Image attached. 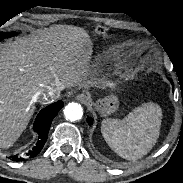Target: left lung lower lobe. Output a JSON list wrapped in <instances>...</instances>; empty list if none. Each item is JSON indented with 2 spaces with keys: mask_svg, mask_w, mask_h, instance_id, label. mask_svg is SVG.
Masks as SVG:
<instances>
[{
  "mask_svg": "<svg viewBox=\"0 0 183 183\" xmlns=\"http://www.w3.org/2000/svg\"><path fill=\"white\" fill-rule=\"evenodd\" d=\"M171 82H172V81H171ZM87 122H88L89 125H92V123H93L92 118L88 117V118H87Z\"/></svg>",
  "mask_w": 183,
  "mask_h": 183,
  "instance_id": "obj_1",
  "label": "left lung lower lobe"
}]
</instances>
